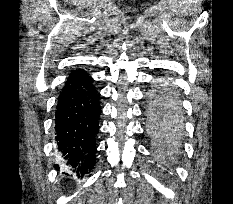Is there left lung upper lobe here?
<instances>
[{
	"mask_svg": "<svg viewBox=\"0 0 233 204\" xmlns=\"http://www.w3.org/2000/svg\"><path fill=\"white\" fill-rule=\"evenodd\" d=\"M152 106L148 113L151 118L169 122L180 127L183 122L181 107L177 96L169 88L164 87L152 96Z\"/></svg>",
	"mask_w": 233,
	"mask_h": 204,
	"instance_id": "5c2ea615",
	"label": "left lung upper lobe"
}]
</instances>
